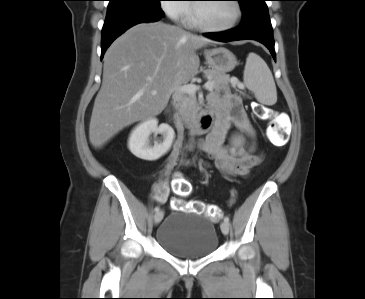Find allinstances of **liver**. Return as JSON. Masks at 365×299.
<instances>
[{
  "instance_id": "liver-1",
  "label": "liver",
  "mask_w": 365,
  "mask_h": 299,
  "mask_svg": "<svg viewBox=\"0 0 365 299\" xmlns=\"http://www.w3.org/2000/svg\"><path fill=\"white\" fill-rule=\"evenodd\" d=\"M210 43L217 42L163 22L141 23L118 37L104 56L90 143L101 148L123 128L159 115L197 74L196 50Z\"/></svg>"
}]
</instances>
